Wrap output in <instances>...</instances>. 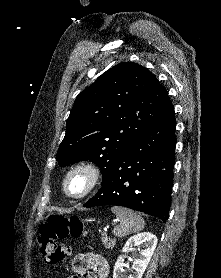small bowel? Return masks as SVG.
I'll use <instances>...</instances> for the list:
<instances>
[{"instance_id":"obj_1","label":"small bowel","mask_w":221,"mask_h":278,"mask_svg":"<svg viewBox=\"0 0 221 278\" xmlns=\"http://www.w3.org/2000/svg\"><path fill=\"white\" fill-rule=\"evenodd\" d=\"M73 278H109L106 260L93 251L79 253L72 265Z\"/></svg>"}]
</instances>
